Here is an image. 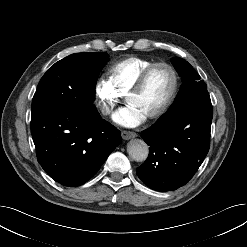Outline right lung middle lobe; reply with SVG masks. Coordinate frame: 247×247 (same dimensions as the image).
I'll list each match as a JSON object with an SVG mask.
<instances>
[{
  "label": "right lung middle lobe",
  "mask_w": 247,
  "mask_h": 247,
  "mask_svg": "<svg viewBox=\"0 0 247 247\" xmlns=\"http://www.w3.org/2000/svg\"><path fill=\"white\" fill-rule=\"evenodd\" d=\"M108 54L76 53L50 67L41 78L32 100V115L56 105L68 106L83 114L97 111L93 104L99 72Z\"/></svg>",
  "instance_id": "1"
}]
</instances>
